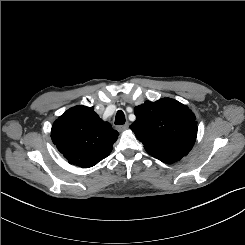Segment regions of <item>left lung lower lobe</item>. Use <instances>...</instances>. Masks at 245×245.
<instances>
[{
  "label": "left lung lower lobe",
  "mask_w": 245,
  "mask_h": 245,
  "mask_svg": "<svg viewBox=\"0 0 245 245\" xmlns=\"http://www.w3.org/2000/svg\"><path fill=\"white\" fill-rule=\"evenodd\" d=\"M160 161L164 162V163H173L178 161L177 159H173V158H168V157H163V158H157Z\"/></svg>",
  "instance_id": "left-lung-lower-lobe-1"
}]
</instances>
